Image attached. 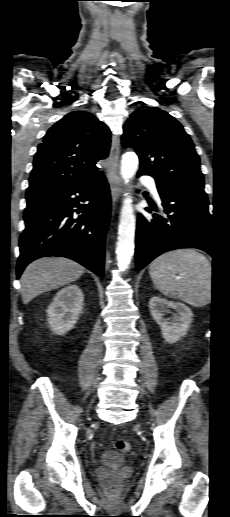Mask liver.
I'll return each mask as SVG.
<instances>
[{"label":"liver","instance_id":"liver-1","mask_svg":"<svg viewBox=\"0 0 230 517\" xmlns=\"http://www.w3.org/2000/svg\"><path fill=\"white\" fill-rule=\"evenodd\" d=\"M84 271L82 265L64 257H43L33 261L20 279L23 303L79 279Z\"/></svg>","mask_w":230,"mask_h":517}]
</instances>
